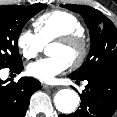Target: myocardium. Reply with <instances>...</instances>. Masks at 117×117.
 <instances>
[{"label":"myocardium","instance_id":"1","mask_svg":"<svg viewBox=\"0 0 117 117\" xmlns=\"http://www.w3.org/2000/svg\"><path fill=\"white\" fill-rule=\"evenodd\" d=\"M54 43L76 51L75 57L70 62L73 67L81 66L89 54V44L82 34H69L54 39Z\"/></svg>","mask_w":117,"mask_h":117}]
</instances>
